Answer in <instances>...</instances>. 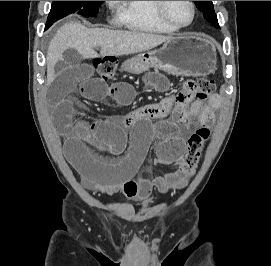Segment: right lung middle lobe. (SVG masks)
I'll list each match as a JSON object with an SVG mask.
<instances>
[{
  "label": "right lung middle lobe",
  "mask_w": 271,
  "mask_h": 266,
  "mask_svg": "<svg viewBox=\"0 0 271 266\" xmlns=\"http://www.w3.org/2000/svg\"><path fill=\"white\" fill-rule=\"evenodd\" d=\"M103 1H53L46 28L57 20L76 12L85 17H96Z\"/></svg>",
  "instance_id": "obj_1"
}]
</instances>
